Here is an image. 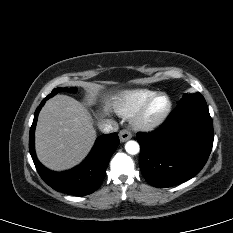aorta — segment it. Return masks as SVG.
I'll use <instances>...</instances> for the list:
<instances>
[{
	"label": "aorta",
	"instance_id": "762f6f07",
	"mask_svg": "<svg viewBox=\"0 0 233 233\" xmlns=\"http://www.w3.org/2000/svg\"><path fill=\"white\" fill-rule=\"evenodd\" d=\"M125 150L128 154L135 155L139 153L140 146L136 141L130 140L125 144Z\"/></svg>",
	"mask_w": 233,
	"mask_h": 233
}]
</instances>
